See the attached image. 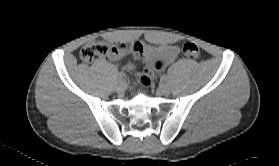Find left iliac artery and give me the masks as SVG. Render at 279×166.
I'll use <instances>...</instances> for the list:
<instances>
[{
  "label": "left iliac artery",
  "instance_id": "1",
  "mask_svg": "<svg viewBox=\"0 0 279 166\" xmlns=\"http://www.w3.org/2000/svg\"><path fill=\"white\" fill-rule=\"evenodd\" d=\"M161 79L164 80V81H166V80L168 79V77H167V75H163V76L161 77Z\"/></svg>",
  "mask_w": 279,
  "mask_h": 166
}]
</instances>
